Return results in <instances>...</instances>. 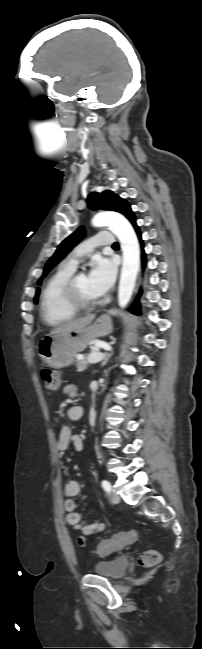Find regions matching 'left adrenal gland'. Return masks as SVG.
<instances>
[{"label":"left adrenal gland","mask_w":202,"mask_h":649,"mask_svg":"<svg viewBox=\"0 0 202 649\" xmlns=\"http://www.w3.org/2000/svg\"><path fill=\"white\" fill-rule=\"evenodd\" d=\"M111 356H112V353H108V354L104 357V360H103V362H102V366H105V365L107 364V362L109 361V359H110Z\"/></svg>","instance_id":"left-adrenal-gland-1"}]
</instances>
